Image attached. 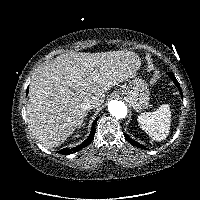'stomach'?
I'll return each mask as SVG.
<instances>
[{
	"instance_id": "obj_1",
	"label": "stomach",
	"mask_w": 200,
	"mask_h": 200,
	"mask_svg": "<svg viewBox=\"0 0 200 200\" xmlns=\"http://www.w3.org/2000/svg\"><path fill=\"white\" fill-rule=\"evenodd\" d=\"M117 94L125 97L136 111L145 109L149 104V88L141 78L130 80L128 84L120 88Z\"/></svg>"
}]
</instances>
